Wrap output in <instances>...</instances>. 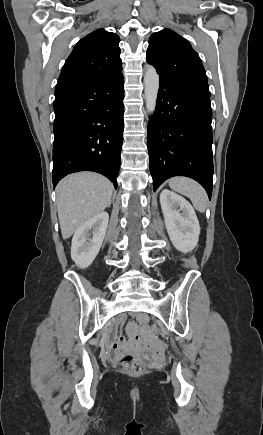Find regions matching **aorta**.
I'll return each mask as SVG.
<instances>
[{"label": "aorta", "mask_w": 263, "mask_h": 435, "mask_svg": "<svg viewBox=\"0 0 263 435\" xmlns=\"http://www.w3.org/2000/svg\"><path fill=\"white\" fill-rule=\"evenodd\" d=\"M144 94L146 109L149 116L155 112L157 103V94L159 89V76L152 65H148L144 75Z\"/></svg>", "instance_id": "762f6f07"}]
</instances>
